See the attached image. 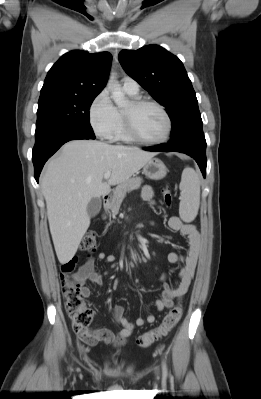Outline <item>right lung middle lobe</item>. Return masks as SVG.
Returning a JSON list of instances; mask_svg holds the SVG:
<instances>
[{"label":"right lung middle lobe","instance_id":"right-lung-middle-lobe-1","mask_svg":"<svg viewBox=\"0 0 261 399\" xmlns=\"http://www.w3.org/2000/svg\"><path fill=\"white\" fill-rule=\"evenodd\" d=\"M96 96L62 94L40 96L35 133L57 125H68L92 132L89 108Z\"/></svg>","mask_w":261,"mask_h":399}]
</instances>
